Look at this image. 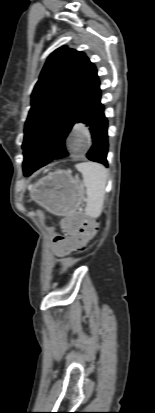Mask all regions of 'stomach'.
I'll list each match as a JSON object with an SVG mask.
<instances>
[{"instance_id": "obj_1", "label": "stomach", "mask_w": 155, "mask_h": 413, "mask_svg": "<svg viewBox=\"0 0 155 413\" xmlns=\"http://www.w3.org/2000/svg\"><path fill=\"white\" fill-rule=\"evenodd\" d=\"M33 200L55 215L64 216L82 204L85 190L82 183L63 170L51 172L32 186Z\"/></svg>"}]
</instances>
